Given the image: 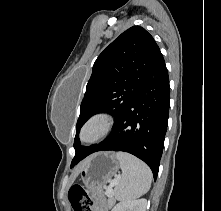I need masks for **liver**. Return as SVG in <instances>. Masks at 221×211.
<instances>
[{
	"label": "liver",
	"instance_id": "6515ba94",
	"mask_svg": "<svg viewBox=\"0 0 221 211\" xmlns=\"http://www.w3.org/2000/svg\"><path fill=\"white\" fill-rule=\"evenodd\" d=\"M89 159V158H88ZM87 159V160H88ZM87 160H85L84 162H82L78 168L75 170L74 172V176H73V179H72V182L74 181V179L78 176V174L80 173V171L82 170L83 166L85 165V163L87 162Z\"/></svg>",
	"mask_w": 221,
	"mask_h": 211
}]
</instances>
